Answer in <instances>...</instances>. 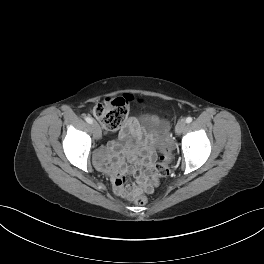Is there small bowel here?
<instances>
[{
	"instance_id": "obj_1",
	"label": "small bowel",
	"mask_w": 264,
	"mask_h": 264,
	"mask_svg": "<svg viewBox=\"0 0 264 264\" xmlns=\"http://www.w3.org/2000/svg\"><path fill=\"white\" fill-rule=\"evenodd\" d=\"M137 128V121L135 118H130L125 125V132L134 130ZM117 150V146L114 143H110L105 147L98 150L96 154V166L101 170H110L113 176V186L115 192L119 194L121 183L123 178L126 177L128 167L122 156H112L113 152ZM129 158L134 161L137 165H140L143 160L141 157L130 155ZM153 160L151 153L147 154L145 164L149 168Z\"/></svg>"
}]
</instances>
